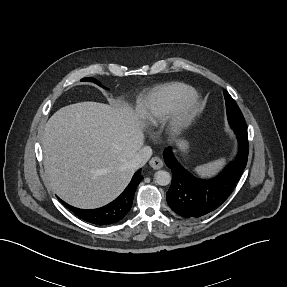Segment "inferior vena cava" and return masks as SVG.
<instances>
[{"mask_svg": "<svg viewBox=\"0 0 287 287\" xmlns=\"http://www.w3.org/2000/svg\"><path fill=\"white\" fill-rule=\"evenodd\" d=\"M152 155V149L150 146H144L139 150L131 162V167L134 169L141 168L146 164Z\"/></svg>", "mask_w": 287, "mask_h": 287, "instance_id": "obj_1", "label": "inferior vena cava"}]
</instances>
